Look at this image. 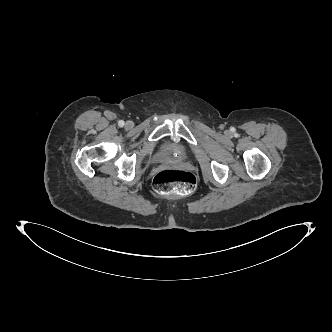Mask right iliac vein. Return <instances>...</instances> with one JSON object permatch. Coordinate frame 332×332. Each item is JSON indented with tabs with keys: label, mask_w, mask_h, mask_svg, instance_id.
<instances>
[{
	"label": "right iliac vein",
	"mask_w": 332,
	"mask_h": 332,
	"mask_svg": "<svg viewBox=\"0 0 332 332\" xmlns=\"http://www.w3.org/2000/svg\"><path fill=\"white\" fill-rule=\"evenodd\" d=\"M126 126L128 128H131L133 126V122L132 121H127Z\"/></svg>",
	"instance_id": "obj_1"
}]
</instances>
